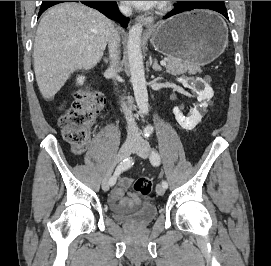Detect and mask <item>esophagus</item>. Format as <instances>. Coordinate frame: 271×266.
Segmentation results:
<instances>
[{"mask_svg":"<svg viewBox=\"0 0 271 266\" xmlns=\"http://www.w3.org/2000/svg\"><path fill=\"white\" fill-rule=\"evenodd\" d=\"M137 21L149 29L153 25L154 18L152 16L142 15L137 17Z\"/></svg>","mask_w":271,"mask_h":266,"instance_id":"34e87169","label":"esophagus"}]
</instances>
